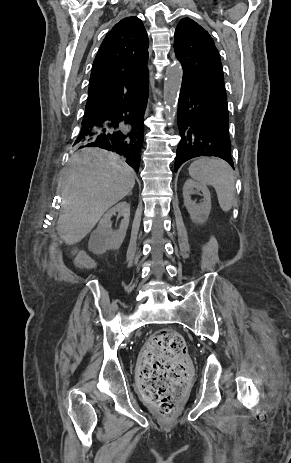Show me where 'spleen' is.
Wrapping results in <instances>:
<instances>
[{"label":"spleen","instance_id":"1","mask_svg":"<svg viewBox=\"0 0 291 463\" xmlns=\"http://www.w3.org/2000/svg\"><path fill=\"white\" fill-rule=\"evenodd\" d=\"M189 175L197 182L211 185L224 212L231 210L235 197V177L228 163L221 159L201 158L189 167Z\"/></svg>","mask_w":291,"mask_h":463}]
</instances>
